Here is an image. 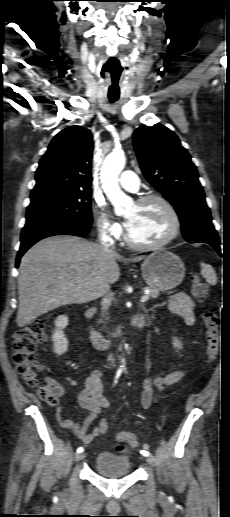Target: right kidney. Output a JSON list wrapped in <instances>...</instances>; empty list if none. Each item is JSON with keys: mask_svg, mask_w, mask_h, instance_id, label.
<instances>
[{"mask_svg": "<svg viewBox=\"0 0 230 517\" xmlns=\"http://www.w3.org/2000/svg\"><path fill=\"white\" fill-rule=\"evenodd\" d=\"M68 325V317L65 315L57 317L55 320V331L52 335L54 352L58 355L65 353L68 349V340L63 329Z\"/></svg>", "mask_w": 230, "mask_h": 517, "instance_id": "right-kidney-1", "label": "right kidney"}]
</instances>
